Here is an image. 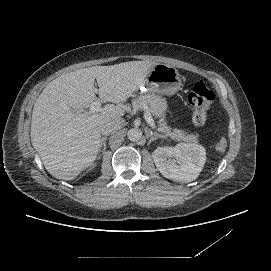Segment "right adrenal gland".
Masks as SVG:
<instances>
[{
	"label": "right adrenal gland",
	"instance_id": "obj_1",
	"mask_svg": "<svg viewBox=\"0 0 271 271\" xmlns=\"http://www.w3.org/2000/svg\"><path fill=\"white\" fill-rule=\"evenodd\" d=\"M106 140H107V135H105L104 137H101L99 153H101V152H102V154L105 153V151H106Z\"/></svg>",
	"mask_w": 271,
	"mask_h": 271
}]
</instances>
